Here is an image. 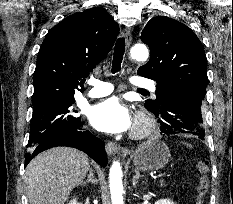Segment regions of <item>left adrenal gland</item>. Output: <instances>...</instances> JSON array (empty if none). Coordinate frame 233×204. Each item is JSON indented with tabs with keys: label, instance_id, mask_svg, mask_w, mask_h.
Wrapping results in <instances>:
<instances>
[{
	"label": "left adrenal gland",
	"instance_id": "a2214340",
	"mask_svg": "<svg viewBox=\"0 0 233 204\" xmlns=\"http://www.w3.org/2000/svg\"><path fill=\"white\" fill-rule=\"evenodd\" d=\"M135 175L133 176V187H136V184L138 183V179L143 177V175L140 174V172L138 171V169H136L135 171Z\"/></svg>",
	"mask_w": 233,
	"mask_h": 204
}]
</instances>
